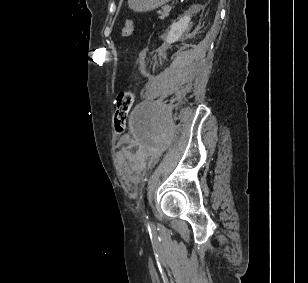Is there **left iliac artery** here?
Here are the masks:
<instances>
[{
    "label": "left iliac artery",
    "mask_w": 308,
    "mask_h": 283,
    "mask_svg": "<svg viewBox=\"0 0 308 283\" xmlns=\"http://www.w3.org/2000/svg\"><path fill=\"white\" fill-rule=\"evenodd\" d=\"M145 217H146V219H148V216H147V215H145Z\"/></svg>",
    "instance_id": "44dca946"
}]
</instances>
